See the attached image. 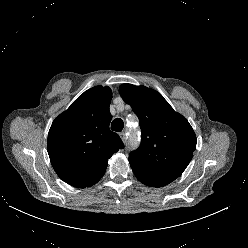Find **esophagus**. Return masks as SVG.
<instances>
[{
    "label": "esophagus",
    "mask_w": 248,
    "mask_h": 248,
    "mask_svg": "<svg viewBox=\"0 0 248 248\" xmlns=\"http://www.w3.org/2000/svg\"><path fill=\"white\" fill-rule=\"evenodd\" d=\"M120 138L122 139L123 143H126V133L125 132H120L119 133Z\"/></svg>",
    "instance_id": "1"
}]
</instances>
